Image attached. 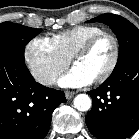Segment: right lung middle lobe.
I'll list each match as a JSON object with an SVG mask.
<instances>
[{"instance_id": "1", "label": "right lung middle lobe", "mask_w": 139, "mask_h": 139, "mask_svg": "<svg viewBox=\"0 0 139 139\" xmlns=\"http://www.w3.org/2000/svg\"><path fill=\"white\" fill-rule=\"evenodd\" d=\"M42 30L20 24L3 22L0 24V53H10L24 58V47Z\"/></svg>"}]
</instances>
